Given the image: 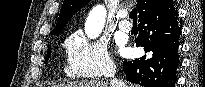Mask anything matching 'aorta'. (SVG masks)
I'll use <instances>...</instances> for the list:
<instances>
[{
    "label": "aorta",
    "instance_id": "762f6f07",
    "mask_svg": "<svg viewBox=\"0 0 205 87\" xmlns=\"http://www.w3.org/2000/svg\"><path fill=\"white\" fill-rule=\"evenodd\" d=\"M106 15L107 11L103 5H97L90 11L85 22V33L88 38L96 39L101 34Z\"/></svg>",
    "mask_w": 205,
    "mask_h": 87
}]
</instances>
